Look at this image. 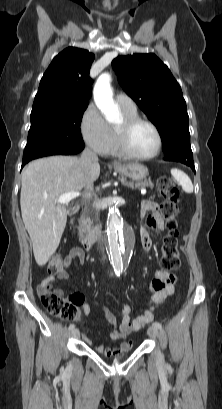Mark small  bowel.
<instances>
[{"label": "small bowel", "instance_id": "small-bowel-1", "mask_svg": "<svg viewBox=\"0 0 222 409\" xmlns=\"http://www.w3.org/2000/svg\"><path fill=\"white\" fill-rule=\"evenodd\" d=\"M141 217L145 218L140 228V240L143 248L146 251L152 249V241L150 237V231H162L164 229V221L159 212L158 203L150 200L143 201L141 204ZM85 252L80 247H73L69 253L64 258L65 267H69L75 260H79L81 263L84 262ZM156 278L149 283V288L152 290L150 293L152 296L148 302V305L143 310V312L136 317H131V308L129 305L124 304L120 311V320L117 319L106 309L102 308V311L107 317L108 323L113 326L110 330L109 335L113 340L125 339L133 332L139 330L145 326L152 319V311L157 304H159L167 296L174 294L175 292V275H169L167 272H162L160 269L154 271ZM68 273L63 270L57 275H50L45 278L38 285V293L48 291L53 288L54 283L57 279L66 280L68 279ZM57 292L62 293V289L57 288ZM81 309L83 314L87 316L89 314V307L86 304H81ZM87 342H90L88 338H85ZM133 342L125 341L116 347H104L99 346L96 350L103 355L110 356L120 352L128 351L132 348Z\"/></svg>", "mask_w": 222, "mask_h": 409}]
</instances>
